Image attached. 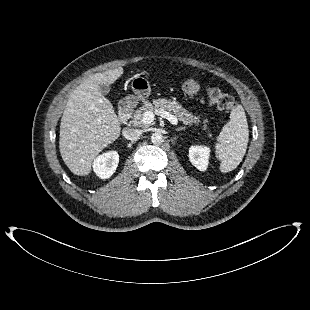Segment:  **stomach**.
<instances>
[{"instance_id": "1", "label": "stomach", "mask_w": 310, "mask_h": 310, "mask_svg": "<svg viewBox=\"0 0 310 310\" xmlns=\"http://www.w3.org/2000/svg\"><path fill=\"white\" fill-rule=\"evenodd\" d=\"M131 88L135 94V97L140 100L148 98L151 93L149 81L141 76H136L132 79Z\"/></svg>"}]
</instances>
